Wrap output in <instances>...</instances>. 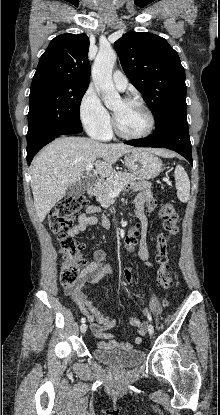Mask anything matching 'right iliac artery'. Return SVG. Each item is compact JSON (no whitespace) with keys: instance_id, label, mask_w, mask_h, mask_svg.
<instances>
[{"instance_id":"right-iliac-artery-1","label":"right iliac artery","mask_w":220,"mask_h":415,"mask_svg":"<svg viewBox=\"0 0 220 415\" xmlns=\"http://www.w3.org/2000/svg\"><path fill=\"white\" fill-rule=\"evenodd\" d=\"M86 319L85 318H81V323H85Z\"/></svg>"}]
</instances>
